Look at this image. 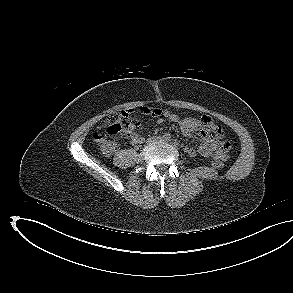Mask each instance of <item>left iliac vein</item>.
<instances>
[{
	"label": "left iliac vein",
	"instance_id": "4c4485c4",
	"mask_svg": "<svg viewBox=\"0 0 293 293\" xmlns=\"http://www.w3.org/2000/svg\"><path fill=\"white\" fill-rule=\"evenodd\" d=\"M161 141H162V142H167V141H166V140H164V139H161Z\"/></svg>",
	"mask_w": 293,
	"mask_h": 293
}]
</instances>
